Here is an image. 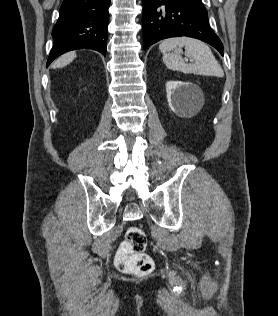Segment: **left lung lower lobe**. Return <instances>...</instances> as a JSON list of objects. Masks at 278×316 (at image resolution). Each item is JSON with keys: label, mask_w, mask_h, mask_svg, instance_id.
I'll use <instances>...</instances> for the list:
<instances>
[{"label": "left lung lower lobe", "mask_w": 278, "mask_h": 316, "mask_svg": "<svg viewBox=\"0 0 278 316\" xmlns=\"http://www.w3.org/2000/svg\"><path fill=\"white\" fill-rule=\"evenodd\" d=\"M144 49L169 37L188 36L215 47L223 55V45L209 26L201 0H143Z\"/></svg>", "instance_id": "left-lung-lower-lobe-1"}]
</instances>
